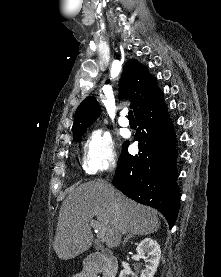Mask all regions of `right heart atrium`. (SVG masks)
Segmentation results:
<instances>
[{
    "label": "right heart atrium",
    "mask_w": 221,
    "mask_h": 277,
    "mask_svg": "<svg viewBox=\"0 0 221 277\" xmlns=\"http://www.w3.org/2000/svg\"><path fill=\"white\" fill-rule=\"evenodd\" d=\"M115 163L116 152L110 133L101 128L93 130L84 146V171L92 175L113 167Z\"/></svg>",
    "instance_id": "1"
}]
</instances>
